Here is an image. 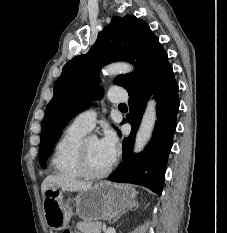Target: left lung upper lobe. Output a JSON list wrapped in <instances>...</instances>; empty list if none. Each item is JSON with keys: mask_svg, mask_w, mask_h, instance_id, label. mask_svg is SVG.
<instances>
[{"mask_svg": "<svg viewBox=\"0 0 227 233\" xmlns=\"http://www.w3.org/2000/svg\"><path fill=\"white\" fill-rule=\"evenodd\" d=\"M118 60L128 61L137 69L115 78V84L128 93L147 89L170 66L164 48L143 20L134 15L114 17L86 54L63 67L54 85L41 130L39 162L43 168L63 128L90 100L101 96L97 85L101 67Z\"/></svg>", "mask_w": 227, "mask_h": 233, "instance_id": "1", "label": "left lung upper lobe"}]
</instances>
